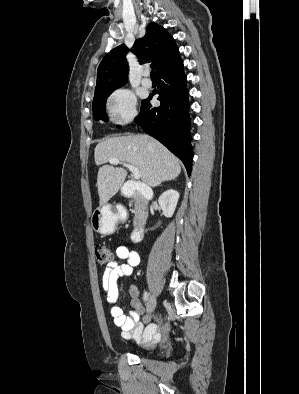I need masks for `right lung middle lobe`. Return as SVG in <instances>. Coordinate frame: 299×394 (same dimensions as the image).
<instances>
[{
  "label": "right lung middle lobe",
  "mask_w": 299,
  "mask_h": 394,
  "mask_svg": "<svg viewBox=\"0 0 299 394\" xmlns=\"http://www.w3.org/2000/svg\"><path fill=\"white\" fill-rule=\"evenodd\" d=\"M114 90L115 89L95 92L92 110H93L94 117L96 120H99V119L102 121L108 120V116L105 111L106 99ZM117 127H119V126H117Z\"/></svg>",
  "instance_id": "1"
}]
</instances>
